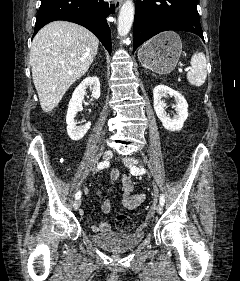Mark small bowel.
I'll return each instance as SVG.
<instances>
[{"label":"small bowel","mask_w":240,"mask_h":281,"mask_svg":"<svg viewBox=\"0 0 240 281\" xmlns=\"http://www.w3.org/2000/svg\"><path fill=\"white\" fill-rule=\"evenodd\" d=\"M120 180L122 185V204L127 209H134L140 206L146 199V195L143 192L133 193L134 184L132 179L127 175H121L117 168H114L110 172V183L114 185L116 181ZM85 194L89 193L88 189L84 190ZM99 194H102V190L99 183ZM112 203L109 199L103 198L101 203V211L105 214L111 212ZM83 215V211H81ZM111 228L110 223L107 220H101L97 224L91 225L93 232H106Z\"/></svg>","instance_id":"c3829d8e"}]
</instances>
